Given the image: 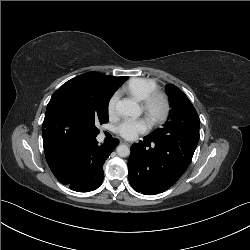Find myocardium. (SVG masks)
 <instances>
[{"mask_svg":"<svg viewBox=\"0 0 250 250\" xmlns=\"http://www.w3.org/2000/svg\"><path fill=\"white\" fill-rule=\"evenodd\" d=\"M143 108L154 124L163 123L171 111L169 96L162 91L156 90L149 94L143 101Z\"/></svg>","mask_w":250,"mask_h":250,"instance_id":"1","label":"myocardium"}]
</instances>
